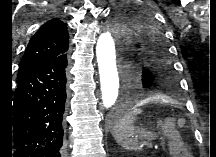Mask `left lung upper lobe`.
<instances>
[{
  "label": "left lung upper lobe",
  "instance_id": "5c2ea615",
  "mask_svg": "<svg viewBox=\"0 0 216 157\" xmlns=\"http://www.w3.org/2000/svg\"><path fill=\"white\" fill-rule=\"evenodd\" d=\"M151 10L118 7L108 28L118 37L124 69L131 83L145 94L176 99L180 83L165 42L164 31Z\"/></svg>",
  "mask_w": 216,
  "mask_h": 157
}]
</instances>
